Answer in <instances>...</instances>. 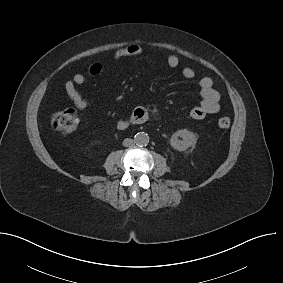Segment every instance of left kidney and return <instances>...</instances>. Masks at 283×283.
Returning <instances> with one entry per match:
<instances>
[{
	"instance_id": "1",
	"label": "left kidney",
	"mask_w": 283,
	"mask_h": 283,
	"mask_svg": "<svg viewBox=\"0 0 283 283\" xmlns=\"http://www.w3.org/2000/svg\"><path fill=\"white\" fill-rule=\"evenodd\" d=\"M182 138V140L179 139ZM197 137L193 132L186 129L179 130L171 136L170 145L178 151H185L196 145Z\"/></svg>"
}]
</instances>
